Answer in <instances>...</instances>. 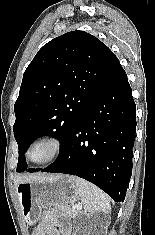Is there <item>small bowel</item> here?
I'll return each mask as SVG.
<instances>
[{
    "label": "small bowel",
    "instance_id": "c3829d8e",
    "mask_svg": "<svg viewBox=\"0 0 155 235\" xmlns=\"http://www.w3.org/2000/svg\"><path fill=\"white\" fill-rule=\"evenodd\" d=\"M45 223L43 225V229L47 231H52V227L54 224L59 223V224H65V221L58 216L53 210H49L45 214ZM35 235H44L40 234V232L36 233ZM47 235H54L53 233H48ZM67 235V234H65Z\"/></svg>",
    "mask_w": 155,
    "mask_h": 235
}]
</instances>
